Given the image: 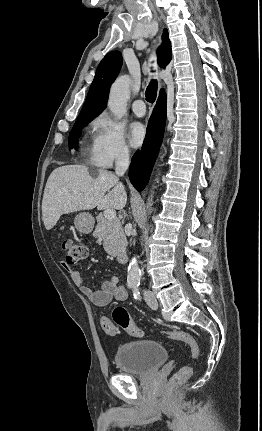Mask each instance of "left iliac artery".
Returning <instances> with one entry per match:
<instances>
[{
  "instance_id": "left-iliac-artery-1",
  "label": "left iliac artery",
  "mask_w": 262,
  "mask_h": 431,
  "mask_svg": "<svg viewBox=\"0 0 262 431\" xmlns=\"http://www.w3.org/2000/svg\"><path fill=\"white\" fill-rule=\"evenodd\" d=\"M138 286L139 285H134L132 288L133 290V295L135 299H139L140 298V292L138 291Z\"/></svg>"
}]
</instances>
